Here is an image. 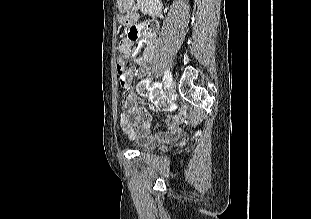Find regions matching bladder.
Segmentation results:
<instances>
[{
	"instance_id": "bladder-1",
	"label": "bladder",
	"mask_w": 311,
	"mask_h": 219,
	"mask_svg": "<svg viewBox=\"0 0 311 219\" xmlns=\"http://www.w3.org/2000/svg\"><path fill=\"white\" fill-rule=\"evenodd\" d=\"M157 146L156 143H146V144H143V145H140L138 147V150L140 152H147L149 150H152L153 148H155Z\"/></svg>"
}]
</instances>
